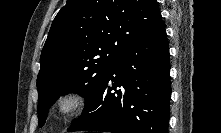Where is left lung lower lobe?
<instances>
[{
	"mask_svg": "<svg viewBox=\"0 0 221 133\" xmlns=\"http://www.w3.org/2000/svg\"><path fill=\"white\" fill-rule=\"evenodd\" d=\"M170 97L169 48L159 19L122 50L67 131L167 133Z\"/></svg>",
	"mask_w": 221,
	"mask_h": 133,
	"instance_id": "1",
	"label": "left lung lower lobe"
}]
</instances>
